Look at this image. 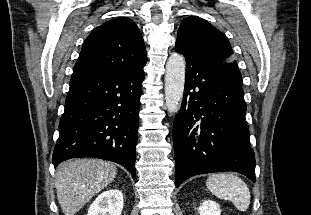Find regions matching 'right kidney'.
<instances>
[{"mask_svg":"<svg viewBox=\"0 0 311 215\" xmlns=\"http://www.w3.org/2000/svg\"><path fill=\"white\" fill-rule=\"evenodd\" d=\"M122 209V192L117 189H110L95 199L90 205L87 215H121Z\"/></svg>","mask_w":311,"mask_h":215,"instance_id":"right-kidney-1","label":"right kidney"}]
</instances>
